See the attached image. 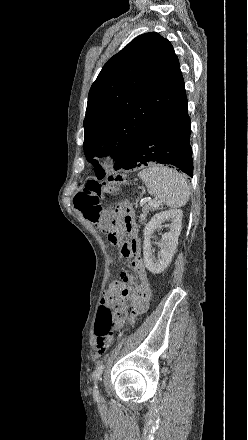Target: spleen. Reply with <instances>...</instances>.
<instances>
[{"instance_id":"3e777b00","label":"spleen","mask_w":248,"mask_h":440,"mask_svg":"<svg viewBox=\"0 0 248 440\" xmlns=\"http://www.w3.org/2000/svg\"><path fill=\"white\" fill-rule=\"evenodd\" d=\"M148 192L160 203L172 208L184 206L190 191L184 177L176 170L161 165H152L138 174Z\"/></svg>"}]
</instances>
